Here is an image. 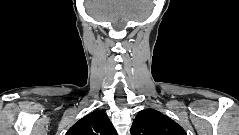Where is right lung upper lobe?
<instances>
[{"mask_svg":"<svg viewBox=\"0 0 239 135\" xmlns=\"http://www.w3.org/2000/svg\"><path fill=\"white\" fill-rule=\"evenodd\" d=\"M116 130L106 113L96 110L81 118L66 135H116Z\"/></svg>","mask_w":239,"mask_h":135,"instance_id":"obj_1","label":"right lung upper lobe"}]
</instances>
